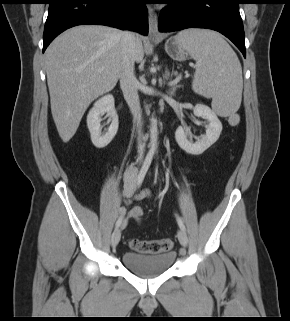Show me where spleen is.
I'll return each instance as SVG.
<instances>
[{
    "mask_svg": "<svg viewBox=\"0 0 290 321\" xmlns=\"http://www.w3.org/2000/svg\"><path fill=\"white\" fill-rule=\"evenodd\" d=\"M176 40L196 60L192 82L195 93L212 98V109L220 116L234 114L242 100L240 61L230 45L216 32L187 29Z\"/></svg>",
    "mask_w": 290,
    "mask_h": 321,
    "instance_id": "1",
    "label": "spleen"
}]
</instances>
